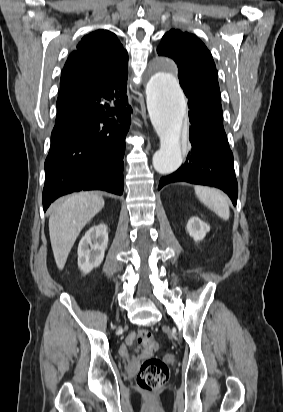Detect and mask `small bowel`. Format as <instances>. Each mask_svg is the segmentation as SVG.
Returning a JSON list of instances; mask_svg holds the SVG:
<instances>
[{"label": "small bowel", "instance_id": "small-bowel-1", "mask_svg": "<svg viewBox=\"0 0 283 412\" xmlns=\"http://www.w3.org/2000/svg\"><path fill=\"white\" fill-rule=\"evenodd\" d=\"M135 338L136 335L133 332L127 336L125 343L119 348V354L121 357L131 361H136L147 355L144 350L135 345Z\"/></svg>", "mask_w": 283, "mask_h": 412}]
</instances>
